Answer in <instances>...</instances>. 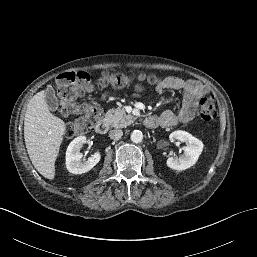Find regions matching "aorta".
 Returning <instances> with one entry per match:
<instances>
[{"mask_svg": "<svg viewBox=\"0 0 257 257\" xmlns=\"http://www.w3.org/2000/svg\"><path fill=\"white\" fill-rule=\"evenodd\" d=\"M130 138L133 143H140L143 140V133L139 130H134L131 133Z\"/></svg>", "mask_w": 257, "mask_h": 257, "instance_id": "1", "label": "aorta"}]
</instances>
